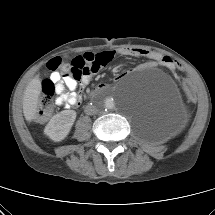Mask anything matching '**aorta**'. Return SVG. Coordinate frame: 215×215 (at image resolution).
<instances>
[{
    "label": "aorta",
    "mask_w": 215,
    "mask_h": 215,
    "mask_svg": "<svg viewBox=\"0 0 215 215\" xmlns=\"http://www.w3.org/2000/svg\"><path fill=\"white\" fill-rule=\"evenodd\" d=\"M120 100H122V97H118L112 92H107L97 96L95 103L100 110L111 111L117 109Z\"/></svg>",
    "instance_id": "762f6f07"
}]
</instances>
